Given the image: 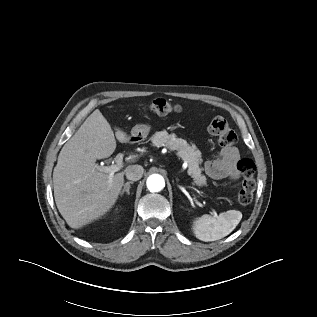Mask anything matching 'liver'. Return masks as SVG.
<instances>
[{"mask_svg": "<svg viewBox=\"0 0 317 317\" xmlns=\"http://www.w3.org/2000/svg\"><path fill=\"white\" fill-rule=\"evenodd\" d=\"M115 130L119 142L130 141L125 132ZM115 136L110 124L97 109L59 153L53 171L54 198L60 214L71 228H81L103 216L118 199L127 168L110 176L99 170L96 164L97 159L113 154ZM137 158L138 155L131 157L132 161Z\"/></svg>", "mask_w": 317, "mask_h": 317, "instance_id": "obj_1", "label": "liver"}]
</instances>
